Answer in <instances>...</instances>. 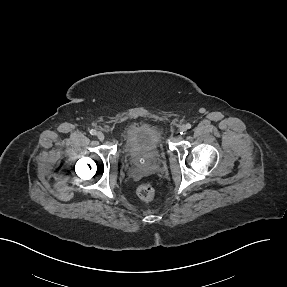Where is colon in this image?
I'll use <instances>...</instances> for the list:
<instances>
[{"label": "colon", "instance_id": "1", "mask_svg": "<svg viewBox=\"0 0 287 287\" xmlns=\"http://www.w3.org/2000/svg\"><path fill=\"white\" fill-rule=\"evenodd\" d=\"M137 195L144 201H151L155 197V191L149 184H141L137 188Z\"/></svg>", "mask_w": 287, "mask_h": 287}]
</instances>
